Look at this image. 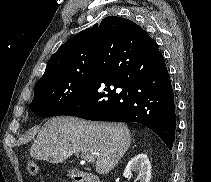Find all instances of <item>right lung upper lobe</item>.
<instances>
[{
    "label": "right lung upper lobe",
    "mask_w": 211,
    "mask_h": 182,
    "mask_svg": "<svg viewBox=\"0 0 211 182\" xmlns=\"http://www.w3.org/2000/svg\"><path fill=\"white\" fill-rule=\"evenodd\" d=\"M121 31L127 38L136 42L150 39V36L134 22L116 16L106 17L99 24L68 39L50 57L45 73L37 83L94 64L100 37L106 33L119 34Z\"/></svg>",
    "instance_id": "obj_1"
}]
</instances>
